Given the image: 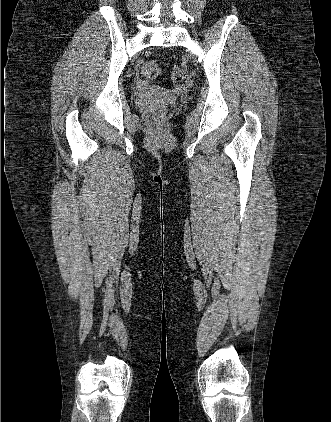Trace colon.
<instances>
[{"instance_id": "obj_1", "label": "colon", "mask_w": 331, "mask_h": 422, "mask_svg": "<svg viewBox=\"0 0 331 422\" xmlns=\"http://www.w3.org/2000/svg\"><path fill=\"white\" fill-rule=\"evenodd\" d=\"M160 73V68L155 61H147L142 66V74L148 79H154L158 77ZM186 70L183 66L176 65L173 67L172 78L174 83L177 85H182L186 79ZM165 114V109H158L155 112L157 118L163 117Z\"/></svg>"}]
</instances>
